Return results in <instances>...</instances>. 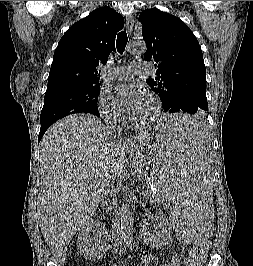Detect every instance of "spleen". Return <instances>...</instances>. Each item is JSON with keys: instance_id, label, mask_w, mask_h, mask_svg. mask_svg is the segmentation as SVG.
Wrapping results in <instances>:
<instances>
[{"instance_id": "1", "label": "spleen", "mask_w": 253, "mask_h": 266, "mask_svg": "<svg viewBox=\"0 0 253 266\" xmlns=\"http://www.w3.org/2000/svg\"><path fill=\"white\" fill-rule=\"evenodd\" d=\"M160 145L153 150L146 187L151 199L171 210L170 229L180 248H203L215 235V207H211L210 136L198 115L160 118Z\"/></svg>"}]
</instances>
